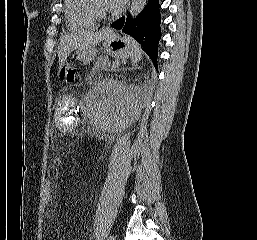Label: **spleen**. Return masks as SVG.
Wrapping results in <instances>:
<instances>
[{
	"mask_svg": "<svg viewBox=\"0 0 257 240\" xmlns=\"http://www.w3.org/2000/svg\"><path fill=\"white\" fill-rule=\"evenodd\" d=\"M126 38L131 42L132 48H131L130 56H131L132 63L135 64L142 59V50L135 41H133L128 37Z\"/></svg>",
	"mask_w": 257,
	"mask_h": 240,
	"instance_id": "spleen-1",
	"label": "spleen"
}]
</instances>
